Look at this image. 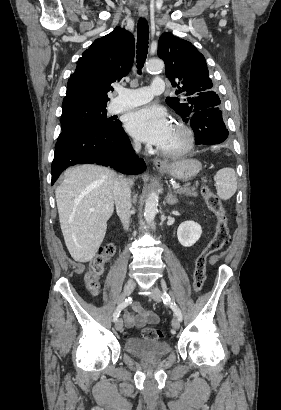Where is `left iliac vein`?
Wrapping results in <instances>:
<instances>
[{
  "label": "left iliac vein",
  "instance_id": "4c4485c4",
  "mask_svg": "<svg viewBox=\"0 0 281 410\" xmlns=\"http://www.w3.org/2000/svg\"><path fill=\"white\" fill-rule=\"evenodd\" d=\"M150 297L156 302H160L162 299L161 292L156 287L151 289ZM172 327L176 330L180 328V320L177 316L172 319Z\"/></svg>",
  "mask_w": 281,
  "mask_h": 410
}]
</instances>
